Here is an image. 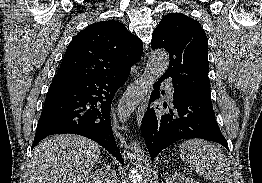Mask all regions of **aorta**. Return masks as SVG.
Masks as SVG:
<instances>
[{"label": "aorta", "mask_w": 262, "mask_h": 183, "mask_svg": "<svg viewBox=\"0 0 262 183\" xmlns=\"http://www.w3.org/2000/svg\"><path fill=\"white\" fill-rule=\"evenodd\" d=\"M169 56L164 50H155L151 53L142 76L131 84L124 92L118 104V117L125 122L140 102L147 96L156 80L167 70ZM141 168L148 170V160L143 154L137 157Z\"/></svg>", "instance_id": "obj_1"}]
</instances>
